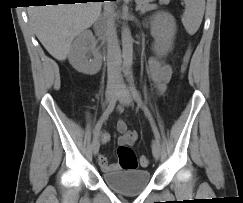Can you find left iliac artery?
I'll return each instance as SVG.
<instances>
[{"instance_id":"obj_1","label":"left iliac artery","mask_w":243,"mask_h":203,"mask_svg":"<svg viewBox=\"0 0 243 203\" xmlns=\"http://www.w3.org/2000/svg\"><path fill=\"white\" fill-rule=\"evenodd\" d=\"M130 88H131V92H132L134 100L136 101L138 106H140L143 109L145 115L148 117V119L150 121V124L152 126V130H153V133L155 135L156 140L158 142H160V135H159L158 129H157L155 123H154V120H153L148 108L143 104L141 97L139 96L135 86L132 83H131V87Z\"/></svg>"}]
</instances>
